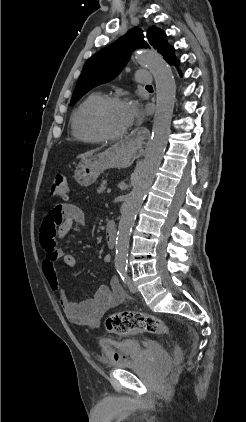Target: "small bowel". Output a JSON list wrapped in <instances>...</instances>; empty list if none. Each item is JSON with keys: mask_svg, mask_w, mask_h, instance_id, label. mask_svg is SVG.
Here are the masks:
<instances>
[{"mask_svg": "<svg viewBox=\"0 0 246 422\" xmlns=\"http://www.w3.org/2000/svg\"><path fill=\"white\" fill-rule=\"evenodd\" d=\"M85 225L84 213L76 205H57L49 210L40 228V242L45 251L43 273L50 288L58 292L67 319L78 325L97 328L104 314L124 300V291L118 279L112 277L110 286L99 287L91 298L73 302L61 289L57 272L59 262L68 268L75 266V258L58 245V239L70 232L80 231ZM104 261L110 263L111 257L105 255Z\"/></svg>", "mask_w": 246, "mask_h": 422, "instance_id": "1", "label": "small bowel"}]
</instances>
